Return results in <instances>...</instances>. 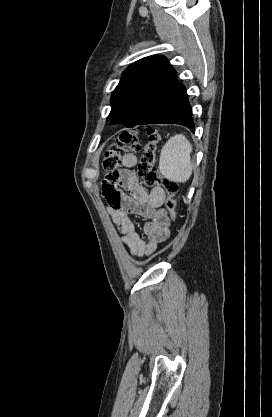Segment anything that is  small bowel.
Returning a JSON list of instances; mask_svg holds the SVG:
<instances>
[{"instance_id":"obj_1","label":"small bowel","mask_w":272,"mask_h":417,"mask_svg":"<svg viewBox=\"0 0 272 417\" xmlns=\"http://www.w3.org/2000/svg\"><path fill=\"white\" fill-rule=\"evenodd\" d=\"M122 163L124 168L106 176L102 192L109 214L122 234L121 243L132 256L142 257L153 253L169 237L170 218L162 208L165 192L159 186L147 190L141 184L140 174L133 170L138 165L134 154L124 156ZM134 216L145 220L144 238L136 230Z\"/></svg>"}]
</instances>
